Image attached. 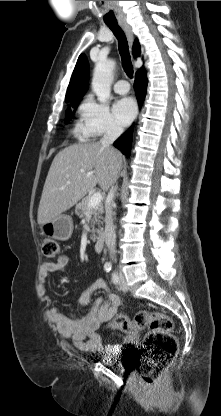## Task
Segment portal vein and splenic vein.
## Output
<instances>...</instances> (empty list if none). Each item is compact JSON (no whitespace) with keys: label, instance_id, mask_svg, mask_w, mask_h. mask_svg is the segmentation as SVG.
I'll use <instances>...</instances> for the list:
<instances>
[{"label":"portal vein and splenic vein","instance_id":"portal-vein-and-splenic-vein-1","mask_svg":"<svg viewBox=\"0 0 221 416\" xmlns=\"http://www.w3.org/2000/svg\"><path fill=\"white\" fill-rule=\"evenodd\" d=\"M81 171L83 172V170H81ZM102 199H103V197H102V194L100 192L94 193L89 199L88 207L93 208V207L97 206L98 204L101 203Z\"/></svg>","mask_w":221,"mask_h":416}]
</instances>
